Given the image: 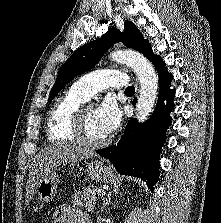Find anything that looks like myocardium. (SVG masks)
Returning <instances> with one entry per match:
<instances>
[{
	"instance_id": "obj_1",
	"label": "myocardium",
	"mask_w": 221,
	"mask_h": 223,
	"mask_svg": "<svg viewBox=\"0 0 221 223\" xmlns=\"http://www.w3.org/2000/svg\"><path fill=\"white\" fill-rule=\"evenodd\" d=\"M70 131L74 139L81 146L86 148H91V149L100 148L107 145L111 140L109 136H107L102 140H97V141H93L87 138L84 109L77 110Z\"/></svg>"
}]
</instances>
